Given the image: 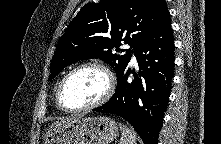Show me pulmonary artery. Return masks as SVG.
I'll return each mask as SVG.
<instances>
[{
  "label": "pulmonary artery",
  "instance_id": "obj_1",
  "mask_svg": "<svg viewBox=\"0 0 221 144\" xmlns=\"http://www.w3.org/2000/svg\"><path fill=\"white\" fill-rule=\"evenodd\" d=\"M127 48H130V46H127ZM132 62H136V57H135V55H134V53H133V55H132Z\"/></svg>",
  "mask_w": 221,
  "mask_h": 144
}]
</instances>
